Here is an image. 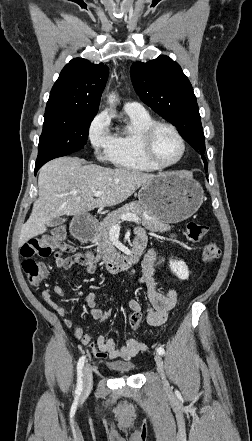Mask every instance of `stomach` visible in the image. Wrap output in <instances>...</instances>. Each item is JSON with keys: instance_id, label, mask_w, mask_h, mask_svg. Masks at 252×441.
I'll return each instance as SVG.
<instances>
[{"instance_id": "0dacf381", "label": "stomach", "mask_w": 252, "mask_h": 441, "mask_svg": "<svg viewBox=\"0 0 252 441\" xmlns=\"http://www.w3.org/2000/svg\"><path fill=\"white\" fill-rule=\"evenodd\" d=\"M138 199L150 216L166 223H179L197 212L204 191L182 172H165L142 185Z\"/></svg>"}]
</instances>
